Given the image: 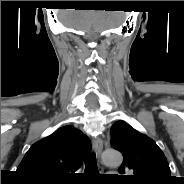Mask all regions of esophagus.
<instances>
[{
	"mask_svg": "<svg viewBox=\"0 0 184 184\" xmlns=\"http://www.w3.org/2000/svg\"><path fill=\"white\" fill-rule=\"evenodd\" d=\"M92 147L93 150L95 151L96 155L98 156V158H100V155L102 153L103 150V141L101 138L96 137L92 140Z\"/></svg>",
	"mask_w": 184,
	"mask_h": 184,
	"instance_id": "esophagus-1",
	"label": "esophagus"
}]
</instances>
